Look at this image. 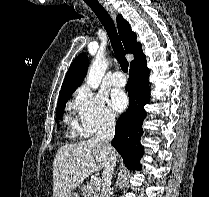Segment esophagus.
Listing matches in <instances>:
<instances>
[{
	"instance_id": "obj_1",
	"label": "esophagus",
	"mask_w": 209,
	"mask_h": 197,
	"mask_svg": "<svg viewBox=\"0 0 209 197\" xmlns=\"http://www.w3.org/2000/svg\"><path fill=\"white\" fill-rule=\"evenodd\" d=\"M100 3L104 6V8L109 12V14L115 18L116 17V10L114 7L104 0H100Z\"/></svg>"
}]
</instances>
